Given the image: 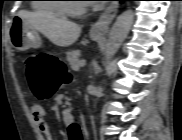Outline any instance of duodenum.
<instances>
[{
  "label": "duodenum",
  "instance_id": "1",
  "mask_svg": "<svg viewBox=\"0 0 182 140\" xmlns=\"http://www.w3.org/2000/svg\"><path fill=\"white\" fill-rule=\"evenodd\" d=\"M67 117H70L71 116V113L69 112V113H67V115H66Z\"/></svg>",
  "mask_w": 182,
  "mask_h": 140
}]
</instances>
